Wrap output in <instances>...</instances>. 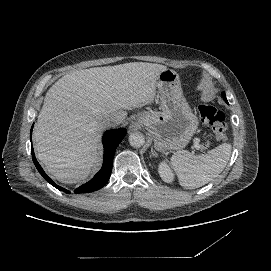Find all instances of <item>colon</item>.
I'll list each match as a JSON object with an SVG mask.
<instances>
[{"instance_id":"1","label":"colon","mask_w":271,"mask_h":271,"mask_svg":"<svg viewBox=\"0 0 271 271\" xmlns=\"http://www.w3.org/2000/svg\"><path fill=\"white\" fill-rule=\"evenodd\" d=\"M198 110L202 121L212 126L218 141H223L227 136V123L224 114L215 106L198 98Z\"/></svg>"}]
</instances>
